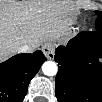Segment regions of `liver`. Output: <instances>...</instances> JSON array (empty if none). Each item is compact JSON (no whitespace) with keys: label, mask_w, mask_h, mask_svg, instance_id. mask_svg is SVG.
Returning <instances> with one entry per match:
<instances>
[{"label":"liver","mask_w":102,"mask_h":102,"mask_svg":"<svg viewBox=\"0 0 102 102\" xmlns=\"http://www.w3.org/2000/svg\"><path fill=\"white\" fill-rule=\"evenodd\" d=\"M69 21V11L57 0L9 1L0 8V55L17 53L23 45L56 38L59 25Z\"/></svg>","instance_id":"liver-1"}]
</instances>
